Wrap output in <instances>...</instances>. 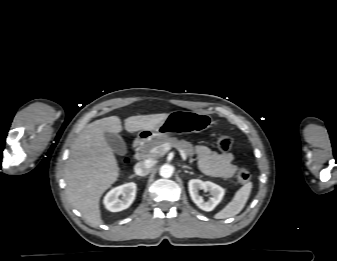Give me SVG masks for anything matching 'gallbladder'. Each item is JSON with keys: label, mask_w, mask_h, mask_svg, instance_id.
Returning a JSON list of instances; mask_svg holds the SVG:
<instances>
[{"label": "gallbladder", "mask_w": 337, "mask_h": 261, "mask_svg": "<svg viewBox=\"0 0 337 261\" xmlns=\"http://www.w3.org/2000/svg\"><path fill=\"white\" fill-rule=\"evenodd\" d=\"M104 137L115 153L118 155H125L127 153L126 143L120 135L105 132Z\"/></svg>", "instance_id": "1"}]
</instances>
